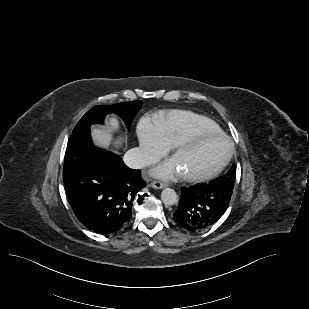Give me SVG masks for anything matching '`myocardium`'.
Returning a JSON list of instances; mask_svg holds the SVG:
<instances>
[{"label": "myocardium", "instance_id": "f54148a6", "mask_svg": "<svg viewBox=\"0 0 309 309\" xmlns=\"http://www.w3.org/2000/svg\"><path fill=\"white\" fill-rule=\"evenodd\" d=\"M206 137H219L226 140L228 145V150L222 161L211 171L206 173H199V174H186L185 177L188 181L191 182H204L207 180H210L214 177H216L218 174H220L224 168L228 165L230 162L233 153H234V143L232 139L225 134L224 132H214V131H204V130H198L194 131L193 133L189 134L185 138L181 139L179 142H177L174 146V154H176L179 150H181L184 147H187L198 140Z\"/></svg>", "mask_w": 309, "mask_h": 309}]
</instances>
